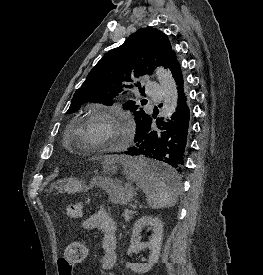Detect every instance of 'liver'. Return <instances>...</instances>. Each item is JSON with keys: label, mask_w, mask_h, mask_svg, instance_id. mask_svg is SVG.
Returning a JSON list of instances; mask_svg holds the SVG:
<instances>
[{"label": "liver", "mask_w": 263, "mask_h": 275, "mask_svg": "<svg viewBox=\"0 0 263 275\" xmlns=\"http://www.w3.org/2000/svg\"><path fill=\"white\" fill-rule=\"evenodd\" d=\"M124 157L121 156H109L108 158H106L105 162L106 164H110V163H114V162H120L122 163Z\"/></svg>", "instance_id": "obj_1"}]
</instances>
